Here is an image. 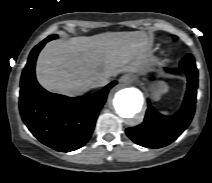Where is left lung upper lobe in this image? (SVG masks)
Segmentation results:
<instances>
[{
  "label": "left lung upper lobe",
  "mask_w": 212,
  "mask_h": 183,
  "mask_svg": "<svg viewBox=\"0 0 212 183\" xmlns=\"http://www.w3.org/2000/svg\"><path fill=\"white\" fill-rule=\"evenodd\" d=\"M173 38H174V40H177V37L176 36H174Z\"/></svg>",
  "instance_id": "1"
}]
</instances>
